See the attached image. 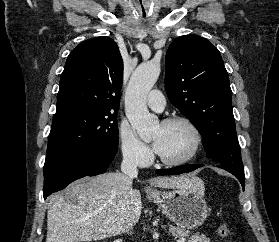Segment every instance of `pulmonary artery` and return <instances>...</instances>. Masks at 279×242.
<instances>
[{
	"mask_svg": "<svg viewBox=\"0 0 279 242\" xmlns=\"http://www.w3.org/2000/svg\"><path fill=\"white\" fill-rule=\"evenodd\" d=\"M148 106L156 111H162L166 105L164 95L159 90H152L147 97Z\"/></svg>",
	"mask_w": 279,
	"mask_h": 242,
	"instance_id": "e3ab8cb5",
	"label": "pulmonary artery"
}]
</instances>
